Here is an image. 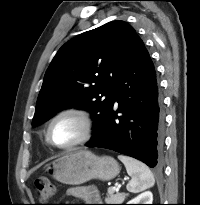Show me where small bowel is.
Returning <instances> with one entry per match:
<instances>
[{"label":"small bowel","instance_id":"small-bowel-1","mask_svg":"<svg viewBox=\"0 0 200 205\" xmlns=\"http://www.w3.org/2000/svg\"><path fill=\"white\" fill-rule=\"evenodd\" d=\"M68 195L79 197L86 201H98L99 196L93 188L75 187L68 190Z\"/></svg>","mask_w":200,"mask_h":205}]
</instances>
